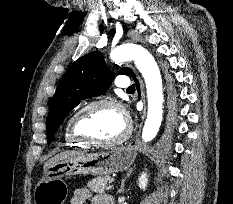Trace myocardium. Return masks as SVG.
Listing matches in <instances>:
<instances>
[{"label":"myocardium","mask_w":233,"mask_h":204,"mask_svg":"<svg viewBox=\"0 0 233 204\" xmlns=\"http://www.w3.org/2000/svg\"><path fill=\"white\" fill-rule=\"evenodd\" d=\"M99 106H109V107L115 108L123 117L125 128H124L123 133L117 138L109 140V141H95V140L89 139L81 135L77 131V122L79 118L81 117V115L84 114L86 111L94 107H99ZM69 130H70L71 135L76 140H79L86 145L94 146V147L109 148V147L117 146L129 138L131 131H132V122H131L129 113L127 112L126 108L120 102L114 99H110V98H102V99L90 101L86 103L85 105H83L80 109H78L70 118Z\"/></svg>","instance_id":"obj_1"}]
</instances>
